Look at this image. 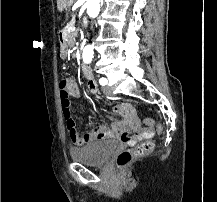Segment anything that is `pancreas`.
Wrapping results in <instances>:
<instances>
[{"label":"pancreas","instance_id":"cf45deb5","mask_svg":"<svg viewBox=\"0 0 217 202\" xmlns=\"http://www.w3.org/2000/svg\"><path fill=\"white\" fill-rule=\"evenodd\" d=\"M68 25H66L63 29V33L64 34H66L68 31V28H70L71 26L70 25H72V22H68L67 23ZM76 36H77V32H68V44H69V46H71V48H73V46H74V44H75V38H76Z\"/></svg>","mask_w":217,"mask_h":202}]
</instances>
